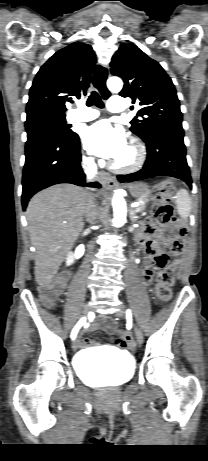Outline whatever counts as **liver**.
I'll list each match as a JSON object with an SVG mask.
<instances>
[{
    "mask_svg": "<svg viewBox=\"0 0 208 461\" xmlns=\"http://www.w3.org/2000/svg\"><path fill=\"white\" fill-rule=\"evenodd\" d=\"M90 194L93 193L71 184H58L30 200L26 219L36 249L34 274L38 285L45 286L54 278L73 247L84 227Z\"/></svg>",
    "mask_w": 208,
    "mask_h": 461,
    "instance_id": "6515ba94",
    "label": "liver"
}]
</instances>
